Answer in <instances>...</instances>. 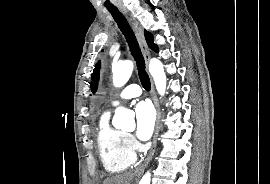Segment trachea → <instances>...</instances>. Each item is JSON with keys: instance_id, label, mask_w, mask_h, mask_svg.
Here are the masks:
<instances>
[{"instance_id": "trachea-1", "label": "trachea", "mask_w": 270, "mask_h": 184, "mask_svg": "<svg viewBox=\"0 0 270 184\" xmlns=\"http://www.w3.org/2000/svg\"><path fill=\"white\" fill-rule=\"evenodd\" d=\"M109 12L113 16L119 29L121 30V32L126 38V41L128 42L131 54L134 57L137 64L138 74L142 86L144 87L145 90L149 91L150 79L145 71V61L131 27L129 26L127 20L118 9H110Z\"/></svg>"}]
</instances>
